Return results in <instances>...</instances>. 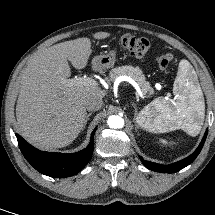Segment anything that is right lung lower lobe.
I'll use <instances>...</instances> for the list:
<instances>
[{
  "label": "right lung lower lobe",
  "mask_w": 215,
  "mask_h": 215,
  "mask_svg": "<svg viewBox=\"0 0 215 215\" xmlns=\"http://www.w3.org/2000/svg\"><path fill=\"white\" fill-rule=\"evenodd\" d=\"M95 131L91 134L89 145L72 154L40 151L20 135L16 134V137L22 154L37 171L50 177L63 178L77 174L87 165L93 153Z\"/></svg>",
  "instance_id": "98d812e1"
}]
</instances>
